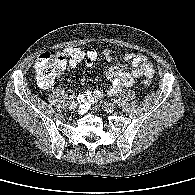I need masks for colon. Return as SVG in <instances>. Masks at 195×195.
I'll return each instance as SVG.
<instances>
[{
    "instance_id": "obj_1",
    "label": "colon",
    "mask_w": 195,
    "mask_h": 195,
    "mask_svg": "<svg viewBox=\"0 0 195 195\" xmlns=\"http://www.w3.org/2000/svg\"><path fill=\"white\" fill-rule=\"evenodd\" d=\"M66 61L65 57L56 52L42 53L35 62V71L37 79L42 87H49L60 76L64 70ZM142 85L148 87L151 80L145 78Z\"/></svg>"
}]
</instances>
